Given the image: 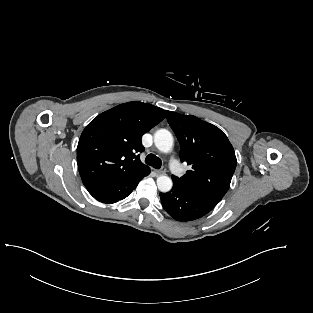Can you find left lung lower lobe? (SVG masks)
Listing matches in <instances>:
<instances>
[{"label":"left lung lower lobe","mask_w":313,"mask_h":313,"mask_svg":"<svg viewBox=\"0 0 313 313\" xmlns=\"http://www.w3.org/2000/svg\"><path fill=\"white\" fill-rule=\"evenodd\" d=\"M173 188L167 193H160L163 208L175 220L191 221L211 211L217 202L206 197L188 192L173 182Z\"/></svg>","instance_id":"1"}]
</instances>
